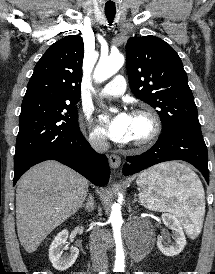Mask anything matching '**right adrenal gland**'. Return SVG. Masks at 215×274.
<instances>
[{
  "instance_id": "2a0ac1e0",
  "label": "right adrenal gland",
  "mask_w": 215,
  "mask_h": 274,
  "mask_svg": "<svg viewBox=\"0 0 215 274\" xmlns=\"http://www.w3.org/2000/svg\"><path fill=\"white\" fill-rule=\"evenodd\" d=\"M81 208H84L86 212H90L94 209V199L90 193L88 194L87 202L83 204Z\"/></svg>"
}]
</instances>
